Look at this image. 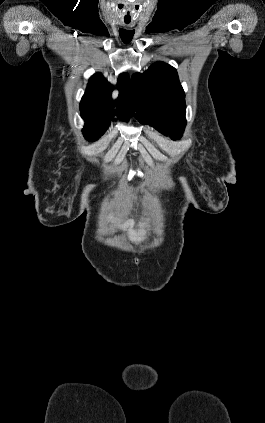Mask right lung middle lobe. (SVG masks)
Segmentation results:
<instances>
[{
    "instance_id": "dd1d6c3e",
    "label": "right lung middle lobe",
    "mask_w": 265,
    "mask_h": 423,
    "mask_svg": "<svg viewBox=\"0 0 265 423\" xmlns=\"http://www.w3.org/2000/svg\"><path fill=\"white\" fill-rule=\"evenodd\" d=\"M85 121L84 128L82 129L84 137L88 141H96L100 138L101 135L104 134V132L109 127V124H105L102 122H99L97 120L88 119L82 117Z\"/></svg>"
}]
</instances>
